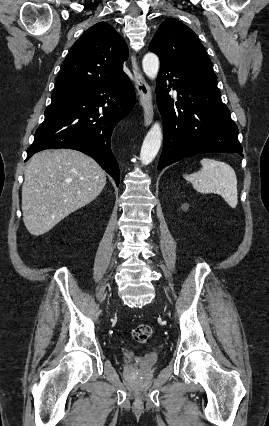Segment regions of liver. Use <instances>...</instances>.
I'll list each match as a JSON object with an SVG mask.
<instances>
[{
  "label": "liver",
  "mask_w": 269,
  "mask_h": 426,
  "mask_svg": "<svg viewBox=\"0 0 269 426\" xmlns=\"http://www.w3.org/2000/svg\"><path fill=\"white\" fill-rule=\"evenodd\" d=\"M24 175L23 221L34 236L92 202L106 184L105 171L91 157L71 149L35 154Z\"/></svg>",
  "instance_id": "1"
}]
</instances>
